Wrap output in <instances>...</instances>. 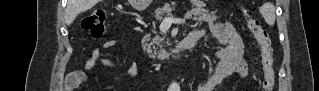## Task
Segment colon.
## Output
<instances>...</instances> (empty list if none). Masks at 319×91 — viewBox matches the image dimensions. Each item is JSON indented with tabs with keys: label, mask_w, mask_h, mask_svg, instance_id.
<instances>
[{
	"label": "colon",
	"mask_w": 319,
	"mask_h": 91,
	"mask_svg": "<svg viewBox=\"0 0 319 91\" xmlns=\"http://www.w3.org/2000/svg\"><path fill=\"white\" fill-rule=\"evenodd\" d=\"M241 12L246 17L248 27L261 49V65L264 76L262 90L271 91L274 87L275 71L273 49L270 38L262 29L259 20L252 17L246 7L242 6ZM81 26L82 29L88 32L91 37H101L106 28L105 12L102 10L93 11L82 19Z\"/></svg>",
	"instance_id": "colon-1"
}]
</instances>
